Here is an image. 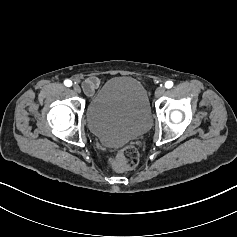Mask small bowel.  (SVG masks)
Segmentation results:
<instances>
[{"label": "small bowel", "instance_id": "c3829d8e", "mask_svg": "<svg viewBox=\"0 0 237 237\" xmlns=\"http://www.w3.org/2000/svg\"><path fill=\"white\" fill-rule=\"evenodd\" d=\"M100 80L96 76H91L87 78L84 82V89L87 94H92L96 88L99 86Z\"/></svg>", "mask_w": 237, "mask_h": 237}]
</instances>
